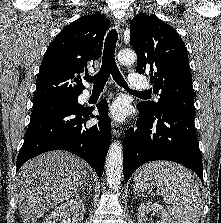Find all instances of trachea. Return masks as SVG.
<instances>
[{
    "mask_svg": "<svg viewBox=\"0 0 221 223\" xmlns=\"http://www.w3.org/2000/svg\"><path fill=\"white\" fill-rule=\"evenodd\" d=\"M118 34L115 29L109 31L104 45L103 50V57H102V66L100 71L94 75V76H86V80L93 83L94 88H103L108 81L109 75L111 74L115 82L129 90V87L124 80L123 76L121 75L116 62H115V48H116V42H117ZM136 94L146 95L148 96V93L145 91H132Z\"/></svg>",
    "mask_w": 221,
    "mask_h": 223,
    "instance_id": "1",
    "label": "trachea"
}]
</instances>
